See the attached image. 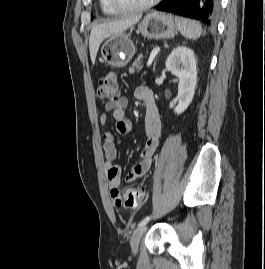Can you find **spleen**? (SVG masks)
<instances>
[{
	"instance_id": "3e777b00",
	"label": "spleen",
	"mask_w": 265,
	"mask_h": 269,
	"mask_svg": "<svg viewBox=\"0 0 265 269\" xmlns=\"http://www.w3.org/2000/svg\"><path fill=\"white\" fill-rule=\"evenodd\" d=\"M175 21L179 32L187 39L195 40L205 34L201 24L197 21L178 16L175 17Z\"/></svg>"
}]
</instances>
